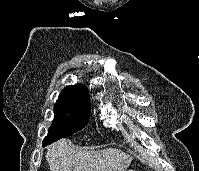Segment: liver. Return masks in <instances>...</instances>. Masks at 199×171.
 I'll use <instances>...</instances> for the list:
<instances>
[{
    "label": "liver",
    "mask_w": 199,
    "mask_h": 171,
    "mask_svg": "<svg viewBox=\"0 0 199 171\" xmlns=\"http://www.w3.org/2000/svg\"><path fill=\"white\" fill-rule=\"evenodd\" d=\"M50 171H125L132 157L118 149L82 151L68 139L48 147L45 155Z\"/></svg>",
    "instance_id": "6515ba94"
}]
</instances>
